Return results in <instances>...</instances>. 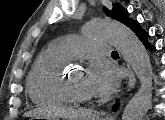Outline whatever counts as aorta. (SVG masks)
Segmentation results:
<instances>
[{
  "mask_svg": "<svg viewBox=\"0 0 165 120\" xmlns=\"http://www.w3.org/2000/svg\"><path fill=\"white\" fill-rule=\"evenodd\" d=\"M86 33L110 40L130 64L140 81V88L127 104L122 120H142L152 100V66L150 57L137 36L124 24L104 18L92 19Z\"/></svg>",
  "mask_w": 165,
  "mask_h": 120,
  "instance_id": "762f6f07",
  "label": "aorta"
}]
</instances>
